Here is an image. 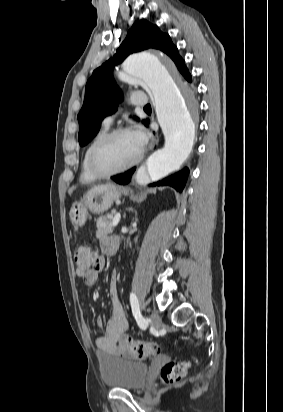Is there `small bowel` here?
I'll use <instances>...</instances> for the list:
<instances>
[{
	"instance_id": "obj_1",
	"label": "small bowel",
	"mask_w": 283,
	"mask_h": 412,
	"mask_svg": "<svg viewBox=\"0 0 283 412\" xmlns=\"http://www.w3.org/2000/svg\"><path fill=\"white\" fill-rule=\"evenodd\" d=\"M115 242H117L115 238H102L100 241V247L103 253L111 254L112 252L110 251V247ZM99 258L101 259V263L97 267L91 269L84 276V282L86 285H94L98 280L99 273L104 266L103 258L100 255ZM109 293L111 299V316L106 323L105 333L96 339L98 354L100 356L126 357L127 355L125 352L119 349L117 345L119 338L128 329V320L119 297L118 278L116 272H113L112 274ZM96 324L97 326L102 327L103 320L101 318H97Z\"/></svg>"
}]
</instances>
